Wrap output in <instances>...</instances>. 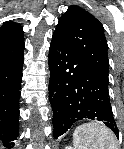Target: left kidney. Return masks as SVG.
<instances>
[{
    "label": "left kidney",
    "mask_w": 124,
    "mask_h": 149,
    "mask_svg": "<svg viewBox=\"0 0 124 149\" xmlns=\"http://www.w3.org/2000/svg\"><path fill=\"white\" fill-rule=\"evenodd\" d=\"M66 149H73V147L67 146Z\"/></svg>",
    "instance_id": "obj_1"
}]
</instances>
